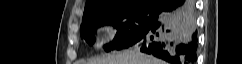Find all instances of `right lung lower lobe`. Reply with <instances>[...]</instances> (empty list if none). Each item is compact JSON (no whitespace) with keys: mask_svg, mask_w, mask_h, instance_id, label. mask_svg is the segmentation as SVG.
Masks as SVG:
<instances>
[{"mask_svg":"<svg viewBox=\"0 0 242 64\" xmlns=\"http://www.w3.org/2000/svg\"><path fill=\"white\" fill-rule=\"evenodd\" d=\"M151 27L129 46L169 64H195L197 30L193 0H162Z\"/></svg>","mask_w":242,"mask_h":64,"instance_id":"obj_1","label":"right lung lower lobe"}]
</instances>
